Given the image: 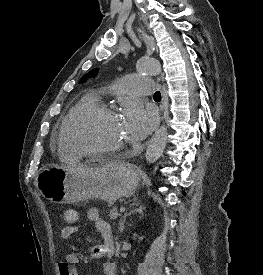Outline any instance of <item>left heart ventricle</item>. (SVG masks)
<instances>
[{"label":"left heart ventricle","instance_id":"obj_1","mask_svg":"<svg viewBox=\"0 0 263 275\" xmlns=\"http://www.w3.org/2000/svg\"><path fill=\"white\" fill-rule=\"evenodd\" d=\"M76 141L89 149H108L130 143L121 118L103 114L84 122L75 135Z\"/></svg>","mask_w":263,"mask_h":275}]
</instances>
